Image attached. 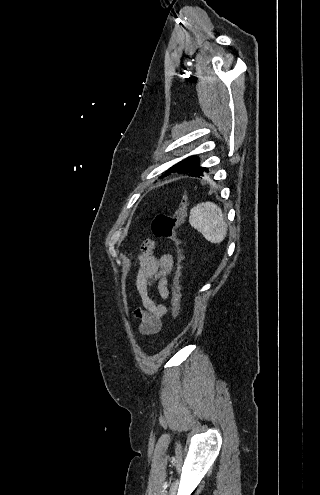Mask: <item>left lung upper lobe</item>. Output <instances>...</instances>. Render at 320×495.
Wrapping results in <instances>:
<instances>
[{
	"instance_id": "left-lung-upper-lobe-1",
	"label": "left lung upper lobe",
	"mask_w": 320,
	"mask_h": 495,
	"mask_svg": "<svg viewBox=\"0 0 320 495\" xmlns=\"http://www.w3.org/2000/svg\"><path fill=\"white\" fill-rule=\"evenodd\" d=\"M198 164H199V158L197 156H190L187 157L186 159H183L181 162L175 164L166 172L167 174H170L172 172L184 174L189 170H191L192 168H194L195 166H197ZM164 176L165 175H163L162 177Z\"/></svg>"
}]
</instances>
